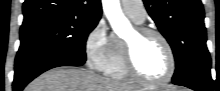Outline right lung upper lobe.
Listing matches in <instances>:
<instances>
[{
    "label": "right lung upper lobe",
    "instance_id": "1",
    "mask_svg": "<svg viewBox=\"0 0 220 91\" xmlns=\"http://www.w3.org/2000/svg\"><path fill=\"white\" fill-rule=\"evenodd\" d=\"M101 14L100 0H25L23 4V23L62 15L100 19Z\"/></svg>",
    "mask_w": 220,
    "mask_h": 91
}]
</instances>
